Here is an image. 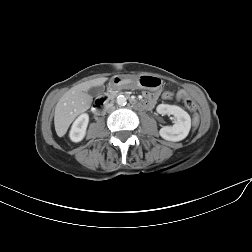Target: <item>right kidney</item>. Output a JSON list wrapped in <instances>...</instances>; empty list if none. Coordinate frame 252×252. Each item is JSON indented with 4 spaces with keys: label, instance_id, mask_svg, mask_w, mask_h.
<instances>
[{
    "label": "right kidney",
    "instance_id": "right-kidney-1",
    "mask_svg": "<svg viewBox=\"0 0 252 252\" xmlns=\"http://www.w3.org/2000/svg\"><path fill=\"white\" fill-rule=\"evenodd\" d=\"M89 123V115L81 114L73 123L69 137L73 142H80L86 135L87 126Z\"/></svg>",
    "mask_w": 252,
    "mask_h": 252
}]
</instances>
